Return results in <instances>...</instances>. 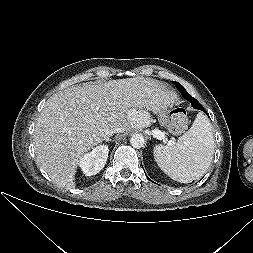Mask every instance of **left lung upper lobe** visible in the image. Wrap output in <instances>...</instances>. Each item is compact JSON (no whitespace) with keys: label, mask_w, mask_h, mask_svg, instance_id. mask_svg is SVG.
<instances>
[{"label":"left lung upper lobe","mask_w":253,"mask_h":253,"mask_svg":"<svg viewBox=\"0 0 253 253\" xmlns=\"http://www.w3.org/2000/svg\"><path fill=\"white\" fill-rule=\"evenodd\" d=\"M176 88L179 90V92L181 93V95L188 101H191L193 99L192 96L189 95V93L184 89V87L179 84L178 82H174Z\"/></svg>","instance_id":"5c2ea615"}]
</instances>
